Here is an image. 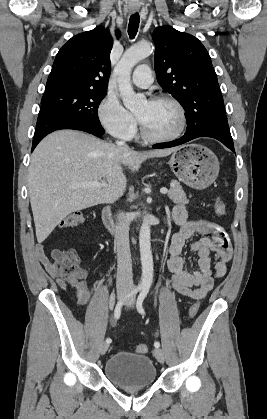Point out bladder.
Returning a JSON list of instances; mask_svg holds the SVG:
<instances>
[{
    "mask_svg": "<svg viewBox=\"0 0 267 419\" xmlns=\"http://www.w3.org/2000/svg\"><path fill=\"white\" fill-rule=\"evenodd\" d=\"M104 375L119 387L140 388L148 387L156 381L157 370L147 355L120 351L108 358Z\"/></svg>",
    "mask_w": 267,
    "mask_h": 419,
    "instance_id": "obj_1",
    "label": "bladder"
}]
</instances>
